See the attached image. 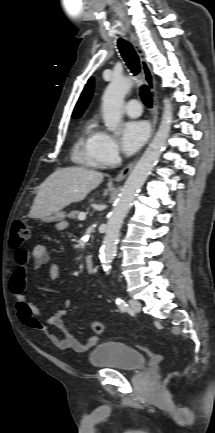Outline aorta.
<instances>
[{
	"label": "aorta",
	"instance_id": "aorta-1",
	"mask_svg": "<svg viewBox=\"0 0 215 433\" xmlns=\"http://www.w3.org/2000/svg\"><path fill=\"white\" fill-rule=\"evenodd\" d=\"M133 86L129 77L113 78L106 88L102 98V113L108 130L116 132L123 115L125 95ZM173 120L172 104L169 99L164 100V110L160 126L138 163L126 180L121 193L108 217L107 228L101 249V261L105 271H109L111 262L117 252V243L122 221L127 215L132 202L158 162L166 146Z\"/></svg>",
	"mask_w": 215,
	"mask_h": 433
}]
</instances>
